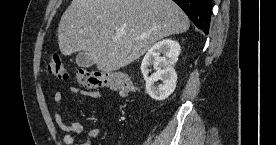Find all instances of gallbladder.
<instances>
[{
    "instance_id": "1",
    "label": "gallbladder",
    "mask_w": 276,
    "mask_h": 145,
    "mask_svg": "<svg viewBox=\"0 0 276 145\" xmlns=\"http://www.w3.org/2000/svg\"><path fill=\"white\" fill-rule=\"evenodd\" d=\"M76 62L78 66L84 68H89L94 64V60L91 59V57L85 52L78 53V55L76 56Z\"/></svg>"
}]
</instances>
